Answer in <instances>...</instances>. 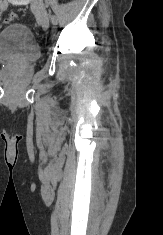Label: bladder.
Listing matches in <instances>:
<instances>
[{
  "label": "bladder",
  "instance_id": "bladder-1",
  "mask_svg": "<svg viewBox=\"0 0 163 235\" xmlns=\"http://www.w3.org/2000/svg\"><path fill=\"white\" fill-rule=\"evenodd\" d=\"M40 54V47L27 25L11 23L0 30V60L31 64Z\"/></svg>",
  "mask_w": 163,
  "mask_h": 235
}]
</instances>
